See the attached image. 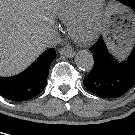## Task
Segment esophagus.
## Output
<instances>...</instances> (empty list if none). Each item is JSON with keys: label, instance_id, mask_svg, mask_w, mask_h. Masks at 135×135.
Here are the masks:
<instances>
[{"label": "esophagus", "instance_id": "esophagus-1", "mask_svg": "<svg viewBox=\"0 0 135 135\" xmlns=\"http://www.w3.org/2000/svg\"><path fill=\"white\" fill-rule=\"evenodd\" d=\"M59 53L66 58H73L75 56V51L70 48H61Z\"/></svg>", "mask_w": 135, "mask_h": 135}]
</instances>
